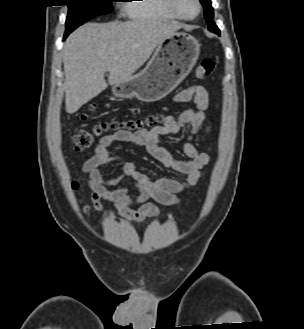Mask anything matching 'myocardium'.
Listing matches in <instances>:
<instances>
[{"label": "myocardium", "instance_id": "myocardium-1", "mask_svg": "<svg viewBox=\"0 0 304 329\" xmlns=\"http://www.w3.org/2000/svg\"><path fill=\"white\" fill-rule=\"evenodd\" d=\"M165 1V5L168 9V11L175 17L178 19H182V20H193L196 17H198V15L201 13L202 11V4L200 0H195L196 4H197V12L195 13V15L193 16H185L183 14H181L176 6V0H164Z\"/></svg>", "mask_w": 304, "mask_h": 329}]
</instances>
